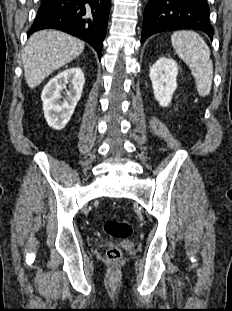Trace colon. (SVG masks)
Here are the masks:
<instances>
[{
  "instance_id": "1",
  "label": "colon",
  "mask_w": 232,
  "mask_h": 311,
  "mask_svg": "<svg viewBox=\"0 0 232 311\" xmlns=\"http://www.w3.org/2000/svg\"><path fill=\"white\" fill-rule=\"evenodd\" d=\"M104 231L110 237L125 239L131 235L132 226L126 220L108 219L104 223ZM122 257L123 253L118 247H112L106 251V258L112 263L121 261Z\"/></svg>"
}]
</instances>
